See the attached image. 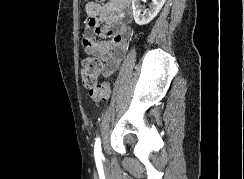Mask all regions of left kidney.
<instances>
[{
	"instance_id": "5707ae66",
	"label": "left kidney",
	"mask_w": 244,
	"mask_h": 179,
	"mask_svg": "<svg viewBox=\"0 0 244 179\" xmlns=\"http://www.w3.org/2000/svg\"><path fill=\"white\" fill-rule=\"evenodd\" d=\"M139 2L140 0H132L133 16L138 26H145V24H149V22H151V20H153V18L159 14L166 0H152L149 10H142Z\"/></svg>"
}]
</instances>
